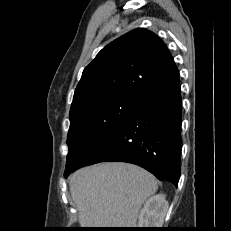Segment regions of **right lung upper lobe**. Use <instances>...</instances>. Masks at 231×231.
<instances>
[{
  "instance_id": "cb5924a9",
  "label": "right lung upper lobe",
  "mask_w": 231,
  "mask_h": 231,
  "mask_svg": "<svg viewBox=\"0 0 231 231\" xmlns=\"http://www.w3.org/2000/svg\"><path fill=\"white\" fill-rule=\"evenodd\" d=\"M179 83V71L166 44L153 32L137 28L104 47L84 69L70 112L112 95L142 98Z\"/></svg>"
}]
</instances>
